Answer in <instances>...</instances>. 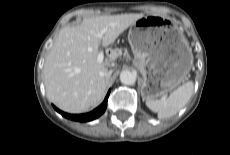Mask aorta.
<instances>
[{
	"label": "aorta",
	"mask_w": 230,
	"mask_h": 155,
	"mask_svg": "<svg viewBox=\"0 0 230 155\" xmlns=\"http://www.w3.org/2000/svg\"><path fill=\"white\" fill-rule=\"evenodd\" d=\"M120 81L125 85H133L136 82V75L128 70H124L120 73Z\"/></svg>",
	"instance_id": "obj_1"
}]
</instances>
